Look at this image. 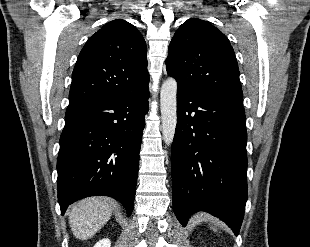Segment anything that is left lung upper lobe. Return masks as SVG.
I'll return each mask as SVG.
<instances>
[{
    "label": "left lung upper lobe",
    "instance_id": "obj_1",
    "mask_svg": "<svg viewBox=\"0 0 310 247\" xmlns=\"http://www.w3.org/2000/svg\"><path fill=\"white\" fill-rule=\"evenodd\" d=\"M178 86L242 105L238 63L225 35L191 18L176 31L165 61Z\"/></svg>",
    "mask_w": 310,
    "mask_h": 247
}]
</instances>
